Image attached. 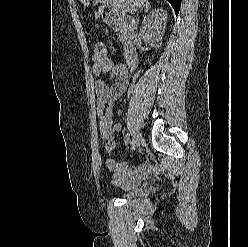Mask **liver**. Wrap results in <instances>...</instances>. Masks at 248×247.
I'll use <instances>...</instances> for the list:
<instances>
[{
    "label": "liver",
    "instance_id": "obj_1",
    "mask_svg": "<svg viewBox=\"0 0 248 247\" xmlns=\"http://www.w3.org/2000/svg\"><path fill=\"white\" fill-rule=\"evenodd\" d=\"M80 1L88 7L91 0ZM147 1L148 0H101L100 2L111 8H116L118 10L117 12H120V14L125 17L128 12L140 9ZM105 5L100 6L98 11H95V19L99 18L103 14Z\"/></svg>",
    "mask_w": 248,
    "mask_h": 247
}]
</instances>
